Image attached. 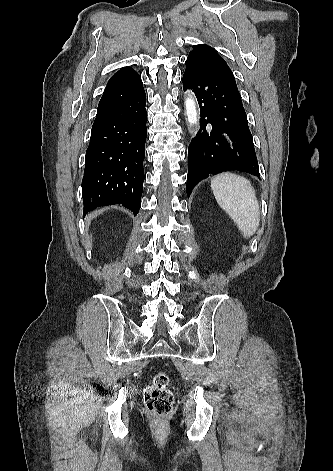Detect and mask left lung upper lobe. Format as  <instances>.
Instances as JSON below:
<instances>
[{"instance_id": "5c2ea615", "label": "left lung upper lobe", "mask_w": 333, "mask_h": 471, "mask_svg": "<svg viewBox=\"0 0 333 471\" xmlns=\"http://www.w3.org/2000/svg\"><path fill=\"white\" fill-rule=\"evenodd\" d=\"M190 53H200V54H204L206 55L207 57H209L211 60H213L220 69H222L226 74L227 76L229 77V79L235 84V86L237 87L236 85V82H235V77L231 71V69L228 67L227 63L224 61V59L218 54V52L216 50H214L213 48H211L210 46L208 45H197V46H194V49L193 51H191Z\"/></svg>"}]
</instances>
